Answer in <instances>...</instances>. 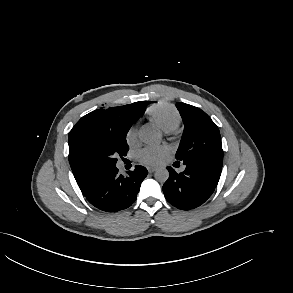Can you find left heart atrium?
Returning a JSON list of instances; mask_svg holds the SVG:
<instances>
[{
    "instance_id": "left-heart-atrium-1",
    "label": "left heart atrium",
    "mask_w": 293,
    "mask_h": 293,
    "mask_svg": "<svg viewBox=\"0 0 293 293\" xmlns=\"http://www.w3.org/2000/svg\"><path fill=\"white\" fill-rule=\"evenodd\" d=\"M170 148L166 145L148 146L137 154L138 160L147 165H157L169 154Z\"/></svg>"
}]
</instances>
